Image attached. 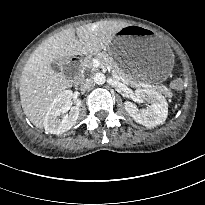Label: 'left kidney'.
Wrapping results in <instances>:
<instances>
[{
  "label": "left kidney",
  "instance_id": "5707ae66",
  "mask_svg": "<svg viewBox=\"0 0 205 205\" xmlns=\"http://www.w3.org/2000/svg\"><path fill=\"white\" fill-rule=\"evenodd\" d=\"M136 100L139 102L146 101L149 107L140 111L136 104L126 101L125 110L139 124L146 127H154L162 124L168 115V104L160 93L149 88L137 89L135 91Z\"/></svg>",
  "mask_w": 205,
  "mask_h": 205
}]
</instances>
